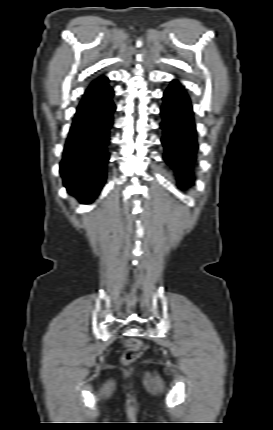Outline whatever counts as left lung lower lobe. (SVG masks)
<instances>
[{
	"label": "left lung lower lobe",
	"mask_w": 273,
	"mask_h": 430,
	"mask_svg": "<svg viewBox=\"0 0 273 430\" xmlns=\"http://www.w3.org/2000/svg\"><path fill=\"white\" fill-rule=\"evenodd\" d=\"M161 115L164 160L175 173L182 176L177 179L179 186H190L198 143L191 101L178 80H173L163 94Z\"/></svg>",
	"instance_id": "1"
}]
</instances>
